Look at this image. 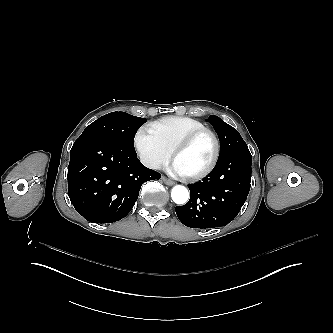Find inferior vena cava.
Listing matches in <instances>:
<instances>
[{
    "label": "inferior vena cava",
    "instance_id": "602c4592",
    "mask_svg": "<svg viewBox=\"0 0 333 333\" xmlns=\"http://www.w3.org/2000/svg\"><path fill=\"white\" fill-rule=\"evenodd\" d=\"M150 167L152 169H160L161 168V165L159 163H153V164H150Z\"/></svg>",
    "mask_w": 333,
    "mask_h": 333
}]
</instances>
